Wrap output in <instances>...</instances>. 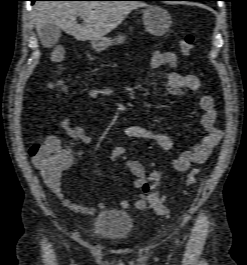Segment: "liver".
<instances>
[{
    "instance_id": "liver-1",
    "label": "liver",
    "mask_w": 247,
    "mask_h": 265,
    "mask_svg": "<svg viewBox=\"0 0 247 265\" xmlns=\"http://www.w3.org/2000/svg\"><path fill=\"white\" fill-rule=\"evenodd\" d=\"M142 6L137 1H37L31 18L38 35L44 25L54 24L79 41H92L103 38ZM78 16L84 25L77 24Z\"/></svg>"
}]
</instances>
